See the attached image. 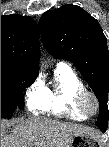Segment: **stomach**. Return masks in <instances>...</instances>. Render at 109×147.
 <instances>
[{"label": "stomach", "instance_id": "1", "mask_svg": "<svg viewBox=\"0 0 109 147\" xmlns=\"http://www.w3.org/2000/svg\"><path fill=\"white\" fill-rule=\"evenodd\" d=\"M70 147H104L100 138H94L87 135H76L72 138Z\"/></svg>", "mask_w": 109, "mask_h": 147}]
</instances>
